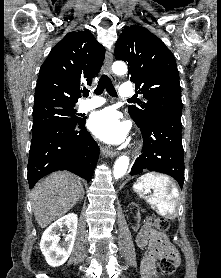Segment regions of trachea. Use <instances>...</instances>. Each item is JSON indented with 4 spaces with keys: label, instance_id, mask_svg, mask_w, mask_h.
<instances>
[{
    "label": "trachea",
    "instance_id": "trachea-1",
    "mask_svg": "<svg viewBox=\"0 0 221 278\" xmlns=\"http://www.w3.org/2000/svg\"><path fill=\"white\" fill-rule=\"evenodd\" d=\"M104 89H106V91L109 93V95L113 96V97H117V93H116V90L112 84V81L111 79L103 74L101 76V78L99 79V82H98V85H97V88L94 90V93L96 95H100L103 93ZM89 95V91L88 90H84L83 91V96L84 97H88ZM130 101L132 100H135V99H129Z\"/></svg>",
    "mask_w": 221,
    "mask_h": 278
}]
</instances>
